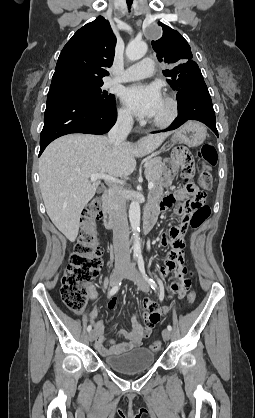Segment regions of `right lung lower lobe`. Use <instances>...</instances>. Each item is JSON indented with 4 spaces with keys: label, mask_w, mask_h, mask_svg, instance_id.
Here are the masks:
<instances>
[{
    "label": "right lung lower lobe",
    "mask_w": 255,
    "mask_h": 418,
    "mask_svg": "<svg viewBox=\"0 0 255 418\" xmlns=\"http://www.w3.org/2000/svg\"><path fill=\"white\" fill-rule=\"evenodd\" d=\"M117 119L115 102L101 106L82 97L48 96L40 152L54 139L70 133L105 134Z\"/></svg>",
    "instance_id": "obj_1"
}]
</instances>
